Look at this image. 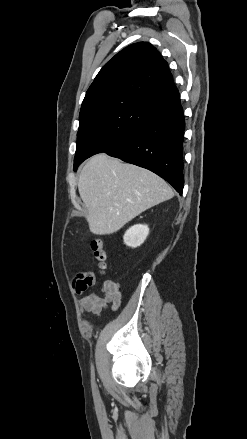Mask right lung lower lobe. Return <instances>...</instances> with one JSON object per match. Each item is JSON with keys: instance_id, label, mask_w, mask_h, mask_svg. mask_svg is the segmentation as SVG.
Returning <instances> with one entry per match:
<instances>
[{"instance_id": "obj_1", "label": "right lung lower lobe", "mask_w": 247, "mask_h": 439, "mask_svg": "<svg viewBox=\"0 0 247 439\" xmlns=\"http://www.w3.org/2000/svg\"><path fill=\"white\" fill-rule=\"evenodd\" d=\"M184 126L178 97L153 110L137 129L105 153L151 170L182 195Z\"/></svg>"}]
</instances>
